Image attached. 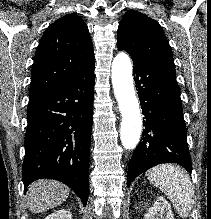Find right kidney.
<instances>
[{"instance_id": "obj_1", "label": "right kidney", "mask_w": 211, "mask_h": 219, "mask_svg": "<svg viewBox=\"0 0 211 219\" xmlns=\"http://www.w3.org/2000/svg\"><path fill=\"white\" fill-rule=\"evenodd\" d=\"M44 219H72V214L70 211L61 209L53 212L52 214L48 215Z\"/></svg>"}]
</instances>
